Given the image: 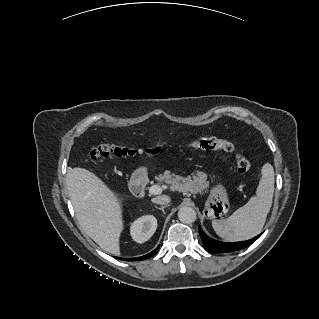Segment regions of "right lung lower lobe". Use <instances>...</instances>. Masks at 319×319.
I'll return each mask as SVG.
<instances>
[{
	"label": "right lung lower lobe",
	"instance_id": "right-lung-lower-lobe-1",
	"mask_svg": "<svg viewBox=\"0 0 319 319\" xmlns=\"http://www.w3.org/2000/svg\"><path fill=\"white\" fill-rule=\"evenodd\" d=\"M160 246H158L156 249H154L152 252H150L149 254L147 255H144V256H141V257H136V258H119V257H116V258H119L120 260H126V261H141V260H145V259H148L152 256H154L158 249H159Z\"/></svg>",
	"mask_w": 319,
	"mask_h": 319
}]
</instances>
